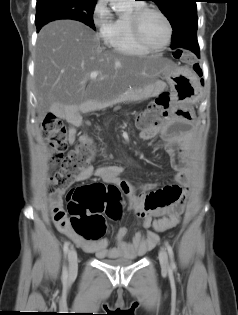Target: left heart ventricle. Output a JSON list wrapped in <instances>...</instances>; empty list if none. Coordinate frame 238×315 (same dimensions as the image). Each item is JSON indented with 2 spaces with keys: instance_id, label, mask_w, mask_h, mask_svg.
Instances as JSON below:
<instances>
[{
  "instance_id": "1",
  "label": "left heart ventricle",
  "mask_w": 238,
  "mask_h": 315,
  "mask_svg": "<svg viewBox=\"0 0 238 315\" xmlns=\"http://www.w3.org/2000/svg\"><path fill=\"white\" fill-rule=\"evenodd\" d=\"M144 40L152 46L162 45L167 38V27L164 20L155 13H148L141 23Z\"/></svg>"
}]
</instances>
